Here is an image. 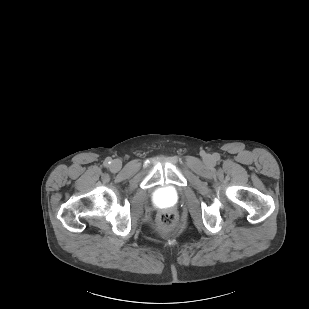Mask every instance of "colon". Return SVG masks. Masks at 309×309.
Listing matches in <instances>:
<instances>
[{"mask_svg":"<svg viewBox=\"0 0 309 309\" xmlns=\"http://www.w3.org/2000/svg\"><path fill=\"white\" fill-rule=\"evenodd\" d=\"M157 223L160 228L169 229L175 225L176 215L170 211L162 212L158 217Z\"/></svg>","mask_w":309,"mask_h":309,"instance_id":"obj_1","label":"colon"}]
</instances>
